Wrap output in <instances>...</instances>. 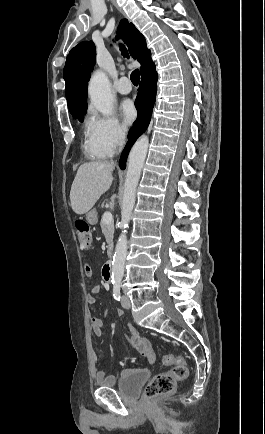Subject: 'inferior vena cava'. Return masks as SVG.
I'll list each match as a JSON object with an SVG mask.
<instances>
[{"mask_svg":"<svg viewBox=\"0 0 265 434\" xmlns=\"http://www.w3.org/2000/svg\"><path fill=\"white\" fill-rule=\"evenodd\" d=\"M123 144H124V136H123V134H120L119 146H123Z\"/></svg>","mask_w":265,"mask_h":434,"instance_id":"inferior-vena-cava-1","label":"inferior vena cava"}]
</instances>
